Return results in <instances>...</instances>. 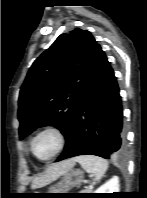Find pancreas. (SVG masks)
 <instances>
[{
    "label": "pancreas",
    "instance_id": "1",
    "mask_svg": "<svg viewBox=\"0 0 147 198\" xmlns=\"http://www.w3.org/2000/svg\"><path fill=\"white\" fill-rule=\"evenodd\" d=\"M83 193H90V189H87L85 191H82Z\"/></svg>",
    "mask_w": 147,
    "mask_h": 198
}]
</instances>
